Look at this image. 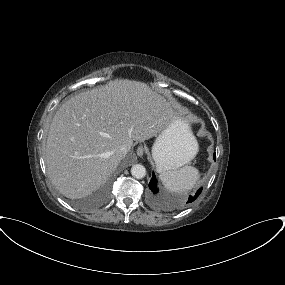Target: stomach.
<instances>
[{"label": "stomach", "instance_id": "stomach-1", "mask_svg": "<svg viewBox=\"0 0 285 285\" xmlns=\"http://www.w3.org/2000/svg\"><path fill=\"white\" fill-rule=\"evenodd\" d=\"M198 151V144L190 127L176 120L157 138L152 155L157 169L174 171L189 163Z\"/></svg>", "mask_w": 285, "mask_h": 285}]
</instances>
